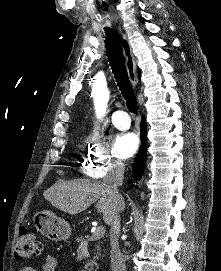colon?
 <instances>
[{
	"mask_svg": "<svg viewBox=\"0 0 221 271\" xmlns=\"http://www.w3.org/2000/svg\"><path fill=\"white\" fill-rule=\"evenodd\" d=\"M42 244L32 229L23 226L16 242L14 256L18 261H25L41 254Z\"/></svg>",
	"mask_w": 221,
	"mask_h": 271,
	"instance_id": "colon-1",
	"label": "colon"
}]
</instances>
